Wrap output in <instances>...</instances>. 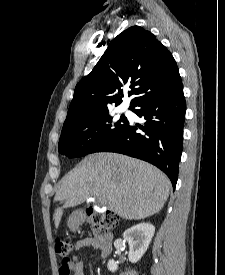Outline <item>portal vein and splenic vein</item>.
<instances>
[{"label":"portal vein and splenic vein","instance_id":"portal-vein-and-splenic-vein-1","mask_svg":"<svg viewBox=\"0 0 225 275\" xmlns=\"http://www.w3.org/2000/svg\"><path fill=\"white\" fill-rule=\"evenodd\" d=\"M88 200H89V201H94V199H93V198H89Z\"/></svg>","mask_w":225,"mask_h":275}]
</instances>
